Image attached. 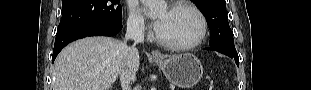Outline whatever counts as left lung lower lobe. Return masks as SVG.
<instances>
[{
	"label": "left lung lower lobe",
	"mask_w": 311,
	"mask_h": 90,
	"mask_svg": "<svg viewBox=\"0 0 311 90\" xmlns=\"http://www.w3.org/2000/svg\"><path fill=\"white\" fill-rule=\"evenodd\" d=\"M204 49H207V50H214V51H218L222 54H225L231 58H233L236 62L237 65H239V58H238V54L237 52L235 51H228V50H225V49H221V48H214V47H207V48H204Z\"/></svg>",
	"instance_id": "left-lung-lower-lobe-1"
}]
</instances>
